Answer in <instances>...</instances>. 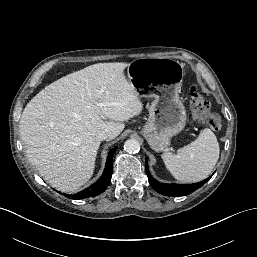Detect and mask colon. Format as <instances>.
<instances>
[{"label": "colon", "instance_id": "obj_1", "mask_svg": "<svg viewBox=\"0 0 257 257\" xmlns=\"http://www.w3.org/2000/svg\"><path fill=\"white\" fill-rule=\"evenodd\" d=\"M190 102L196 120L213 130H219L221 128V118L209 111L208 100L196 87L191 88Z\"/></svg>", "mask_w": 257, "mask_h": 257}]
</instances>
